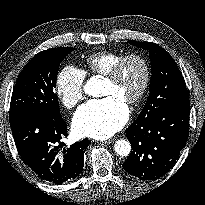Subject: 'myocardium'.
Instances as JSON below:
<instances>
[{
	"mask_svg": "<svg viewBox=\"0 0 205 205\" xmlns=\"http://www.w3.org/2000/svg\"><path fill=\"white\" fill-rule=\"evenodd\" d=\"M130 60H138L142 64L143 70H144V77H143V81H142V85H141L140 89L132 98H130L126 101V103H128V104H136V103H139L143 99V97L145 96V94L149 88L150 81H151L150 63L144 55L139 54V53H130V54L124 55L112 67V69L106 75H104V78L111 83L117 82L118 79L120 78V75L122 73V70H123L125 64Z\"/></svg>",
	"mask_w": 205,
	"mask_h": 205,
	"instance_id": "f54148a6",
	"label": "myocardium"
}]
</instances>
